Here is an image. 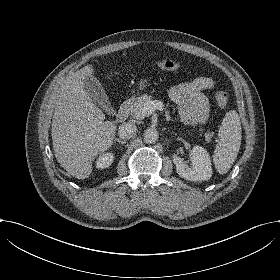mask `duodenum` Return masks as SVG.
Segmentation results:
<instances>
[{"label": "duodenum", "mask_w": 280, "mask_h": 280, "mask_svg": "<svg viewBox=\"0 0 280 280\" xmlns=\"http://www.w3.org/2000/svg\"><path fill=\"white\" fill-rule=\"evenodd\" d=\"M129 109H130V102H128V101L123 102L119 106V109H118V112L116 115V120L118 122H122L123 120H125L126 117L128 116Z\"/></svg>", "instance_id": "duodenum-1"}]
</instances>
